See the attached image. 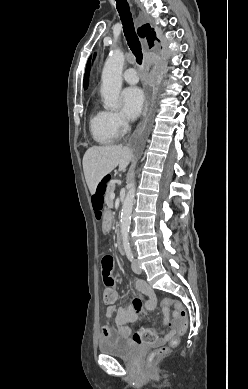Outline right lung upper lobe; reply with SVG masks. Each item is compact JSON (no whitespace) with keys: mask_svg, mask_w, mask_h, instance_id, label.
<instances>
[{"mask_svg":"<svg viewBox=\"0 0 248 389\" xmlns=\"http://www.w3.org/2000/svg\"><path fill=\"white\" fill-rule=\"evenodd\" d=\"M138 34L140 37L146 38L149 47L157 45V42L159 41L156 37L154 28H152L149 24H145L138 28Z\"/></svg>","mask_w":248,"mask_h":389,"instance_id":"obj_1","label":"right lung upper lobe"}]
</instances>
